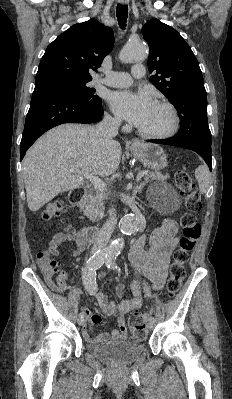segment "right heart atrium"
<instances>
[{"instance_id": "d8ad5b80", "label": "right heart atrium", "mask_w": 232, "mask_h": 399, "mask_svg": "<svg viewBox=\"0 0 232 399\" xmlns=\"http://www.w3.org/2000/svg\"><path fill=\"white\" fill-rule=\"evenodd\" d=\"M108 121H109V122H116V119H114V118L108 116Z\"/></svg>"}]
</instances>
